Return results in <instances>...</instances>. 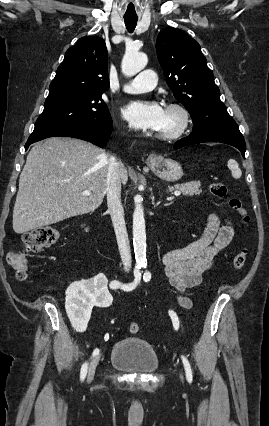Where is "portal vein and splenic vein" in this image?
<instances>
[{"mask_svg": "<svg viewBox=\"0 0 269 426\" xmlns=\"http://www.w3.org/2000/svg\"><path fill=\"white\" fill-rule=\"evenodd\" d=\"M91 194V191L90 190H85V191H83V195H85V196H88V195H90ZM175 196H179L180 194H181V192L180 191H175L174 193H173Z\"/></svg>", "mask_w": 269, "mask_h": 426, "instance_id": "18ae733b", "label": "portal vein and splenic vein"}]
</instances>
